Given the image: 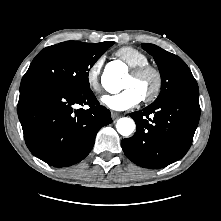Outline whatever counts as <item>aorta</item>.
Instances as JSON below:
<instances>
[{
	"label": "aorta",
	"mask_w": 221,
	"mask_h": 221,
	"mask_svg": "<svg viewBox=\"0 0 221 221\" xmlns=\"http://www.w3.org/2000/svg\"><path fill=\"white\" fill-rule=\"evenodd\" d=\"M123 71L115 66L109 65L102 76V84L105 89L111 93H117L121 90V76ZM117 131L122 136H129L135 130V122L128 117L120 118L116 124Z\"/></svg>",
	"instance_id": "obj_1"
}]
</instances>
